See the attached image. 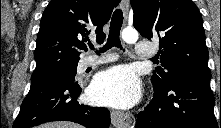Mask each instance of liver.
Masks as SVG:
<instances>
[{"mask_svg":"<svg viewBox=\"0 0 221 128\" xmlns=\"http://www.w3.org/2000/svg\"><path fill=\"white\" fill-rule=\"evenodd\" d=\"M38 128H82V126L71 122L59 121V122L46 123L40 125Z\"/></svg>","mask_w":221,"mask_h":128,"instance_id":"6515ba94","label":"liver"}]
</instances>
